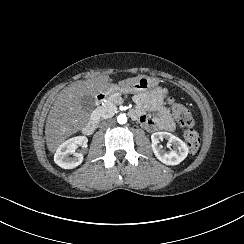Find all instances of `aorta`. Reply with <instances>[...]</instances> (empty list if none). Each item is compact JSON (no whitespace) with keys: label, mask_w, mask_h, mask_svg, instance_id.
Segmentation results:
<instances>
[{"label":"aorta","mask_w":244,"mask_h":244,"mask_svg":"<svg viewBox=\"0 0 244 244\" xmlns=\"http://www.w3.org/2000/svg\"><path fill=\"white\" fill-rule=\"evenodd\" d=\"M117 122L119 124H125L127 122V116L125 114H120L118 117H117Z\"/></svg>","instance_id":"762f6f07"}]
</instances>
